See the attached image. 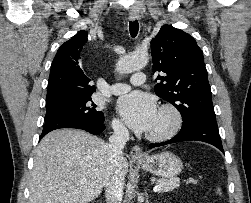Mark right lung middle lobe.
I'll list each match as a JSON object with an SVG mask.
<instances>
[{
    "instance_id": "dd1d6c3e",
    "label": "right lung middle lobe",
    "mask_w": 251,
    "mask_h": 203,
    "mask_svg": "<svg viewBox=\"0 0 251 203\" xmlns=\"http://www.w3.org/2000/svg\"><path fill=\"white\" fill-rule=\"evenodd\" d=\"M96 105L91 102V97L74 101L54 107L46 108L45 121L65 117V116H83L95 120L97 122H104V114L97 111Z\"/></svg>"
}]
</instances>
